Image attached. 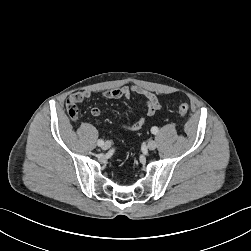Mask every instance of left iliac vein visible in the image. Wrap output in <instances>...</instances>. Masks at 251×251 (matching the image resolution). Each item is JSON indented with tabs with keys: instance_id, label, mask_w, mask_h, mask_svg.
<instances>
[{
	"instance_id": "4c4485c4",
	"label": "left iliac vein",
	"mask_w": 251,
	"mask_h": 251,
	"mask_svg": "<svg viewBox=\"0 0 251 251\" xmlns=\"http://www.w3.org/2000/svg\"><path fill=\"white\" fill-rule=\"evenodd\" d=\"M147 146L149 150H155L157 147V143L154 140H150Z\"/></svg>"
}]
</instances>
